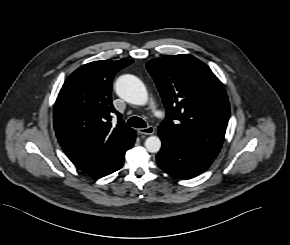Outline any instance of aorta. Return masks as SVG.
<instances>
[{
  "instance_id": "obj_1",
  "label": "aorta",
  "mask_w": 290,
  "mask_h": 245,
  "mask_svg": "<svg viewBox=\"0 0 290 245\" xmlns=\"http://www.w3.org/2000/svg\"><path fill=\"white\" fill-rule=\"evenodd\" d=\"M115 90L119 97L134 105H145L148 93L143 82L134 75H122L115 83ZM145 147L150 153H157L161 148L158 136H150L145 141Z\"/></svg>"
}]
</instances>
